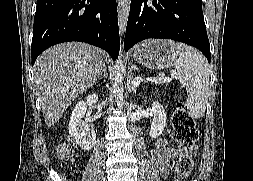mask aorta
<instances>
[{
  "label": "aorta",
  "mask_w": 253,
  "mask_h": 181,
  "mask_svg": "<svg viewBox=\"0 0 253 181\" xmlns=\"http://www.w3.org/2000/svg\"><path fill=\"white\" fill-rule=\"evenodd\" d=\"M131 0H117V16L120 50L114 65V96L118 106L124 104L123 80L126 67L123 61L124 57V37L130 13Z\"/></svg>",
  "instance_id": "obj_1"
}]
</instances>
